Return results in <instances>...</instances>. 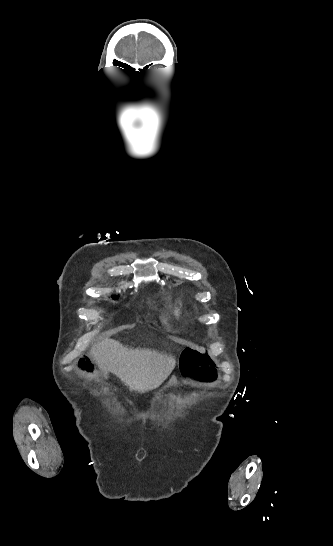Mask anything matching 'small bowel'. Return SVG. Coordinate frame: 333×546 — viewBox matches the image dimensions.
Segmentation results:
<instances>
[{
    "label": "small bowel",
    "instance_id": "1",
    "mask_svg": "<svg viewBox=\"0 0 333 546\" xmlns=\"http://www.w3.org/2000/svg\"><path fill=\"white\" fill-rule=\"evenodd\" d=\"M169 384H170L171 386H173L175 383H174L173 381H171Z\"/></svg>",
    "mask_w": 333,
    "mask_h": 546
}]
</instances>
